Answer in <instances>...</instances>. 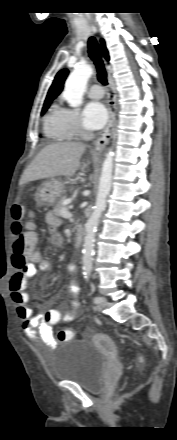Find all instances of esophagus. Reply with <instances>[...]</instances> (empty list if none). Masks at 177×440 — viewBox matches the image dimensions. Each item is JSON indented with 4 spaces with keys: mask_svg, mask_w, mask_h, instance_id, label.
<instances>
[{
    "mask_svg": "<svg viewBox=\"0 0 177 440\" xmlns=\"http://www.w3.org/2000/svg\"><path fill=\"white\" fill-rule=\"evenodd\" d=\"M109 121L94 143V151L101 152L108 144L116 123V100L112 92L109 94Z\"/></svg>",
    "mask_w": 177,
    "mask_h": 440,
    "instance_id": "34e87169",
    "label": "esophagus"
}]
</instances>
